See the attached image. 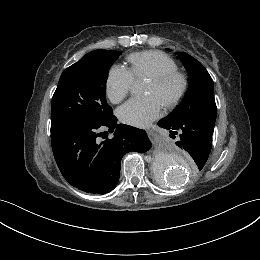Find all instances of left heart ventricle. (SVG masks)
Segmentation results:
<instances>
[{
    "mask_svg": "<svg viewBox=\"0 0 260 260\" xmlns=\"http://www.w3.org/2000/svg\"><path fill=\"white\" fill-rule=\"evenodd\" d=\"M177 88L176 82H171L163 87H156L152 82H148L146 88V94L155 95L158 97L162 102L166 100Z\"/></svg>",
    "mask_w": 260,
    "mask_h": 260,
    "instance_id": "obj_1",
    "label": "left heart ventricle"
}]
</instances>
